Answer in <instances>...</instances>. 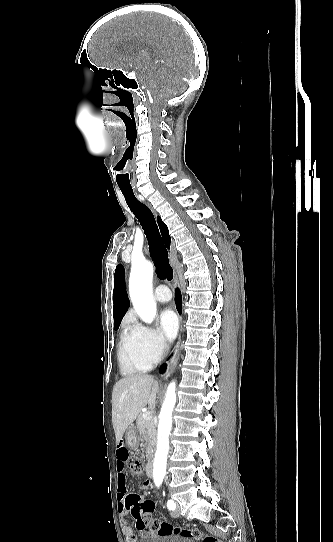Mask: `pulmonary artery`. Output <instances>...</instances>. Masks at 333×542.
<instances>
[{
    "instance_id": "1",
    "label": "pulmonary artery",
    "mask_w": 333,
    "mask_h": 542,
    "mask_svg": "<svg viewBox=\"0 0 333 542\" xmlns=\"http://www.w3.org/2000/svg\"><path fill=\"white\" fill-rule=\"evenodd\" d=\"M171 296V292L168 290L166 285L161 284L157 287V295H155L157 302L166 304L170 301Z\"/></svg>"
}]
</instances>
